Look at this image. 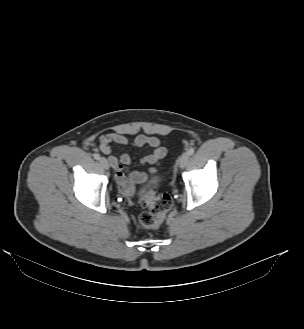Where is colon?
Here are the masks:
<instances>
[{"mask_svg": "<svg viewBox=\"0 0 304 329\" xmlns=\"http://www.w3.org/2000/svg\"><path fill=\"white\" fill-rule=\"evenodd\" d=\"M142 205L147 211L139 216V225L144 228L157 229L172 206V198L166 193H159L152 189L147 193Z\"/></svg>", "mask_w": 304, "mask_h": 329, "instance_id": "5ec220e1", "label": "colon"}]
</instances>
